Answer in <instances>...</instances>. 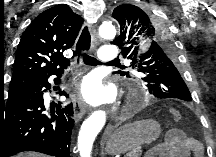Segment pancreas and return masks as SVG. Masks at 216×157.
I'll return each mask as SVG.
<instances>
[{"label":"pancreas","mask_w":216,"mask_h":157,"mask_svg":"<svg viewBox=\"0 0 216 157\" xmlns=\"http://www.w3.org/2000/svg\"><path fill=\"white\" fill-rule=\"evenodd\" d=\"M141 152H142L141 149H140V148H137V149H135V150L129 152V153L126 155V157H140Z\"/></svg>","instance_id":"pancreas-1"}]
</instances>
